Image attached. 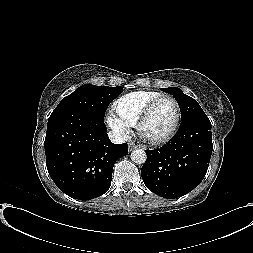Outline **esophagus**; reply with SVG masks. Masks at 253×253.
<instances>
[{"mask_svg":"<svg viewBox=\"0 0 253 253\" xmlns=\"http://www.w3.org/2000/svg\"><path fill=\"white\" fill-rule=\"evenodd\" d=\"M138 148V145L135 144V142L131 141L128 143V149L129 151H133L134 149H137Z\"/></svg>","mask_w":253,"mask_h":253,"instance_id":"34e87169","label":"esophagus"}]
</instances>
